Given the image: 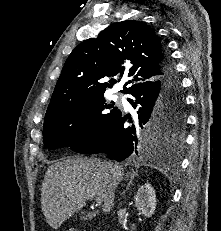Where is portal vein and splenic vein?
Instances as JSON below:
<instances>
[{
	"instance_id": "obj_1",
	"label": "portal vein and splenic vein",
	"mask_w": 221,
	"mask_h": 231,
	"mask_svg": "<svg viewBox=\"0 0 221 231\" xmlns=\"http://www.w3.org/2000/svg\"><path fill=\"white\" fill-rule=\"evenodd\" d=\"M95 201H96V203L99 204V205L102 203V199L99 198V197H97V198L95 199Z\"/></svg>"
}]
</instances>
